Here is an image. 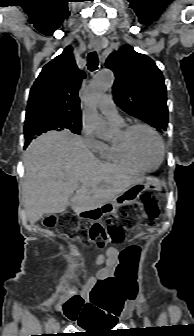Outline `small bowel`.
<instances>
[{"instance_id": "small-bowel-1", "label": "small bowel", "mask_w": 194, "mask_h": 336, "mask_svg": "<svg viewBox=\"0 0 194 336\" xmlns=\"http://www.w3.org/2000/svg\"><path fill=\"white\" fill-rule=\"evenodd\" d=\"M120 252L109 248L97 257V273L88 279L82 289L87 303L79 317V325L103 324L116 321L120 316V304L126 299V293L118 282L116 267Z\"/></svg>"}]
</instances>
